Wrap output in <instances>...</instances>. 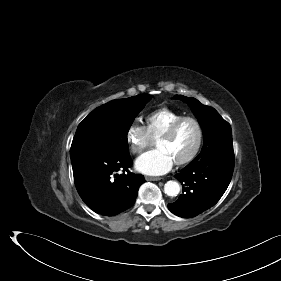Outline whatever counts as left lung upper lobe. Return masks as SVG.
Here are the masks:
<instances>
[{
	"label": "left lung upper lobe",
	"instance_id": "obj_1",
	"mask_svg": "<svg viewBox=\"0 0 281 281\" xmlns=\"http://www.w3.org/2000/svg\"><path fill=\"white\" fill-rule=\"evenodd\" d=\"M174 98L181 99L191 106L202 127L204 144L195 159L203 156L234 155L231 126L215 109L201 104L195 98L182 95H175Z\"/></svg>",
	"mask_w": 281,
	"mask_h": 281
}]
</instances>
